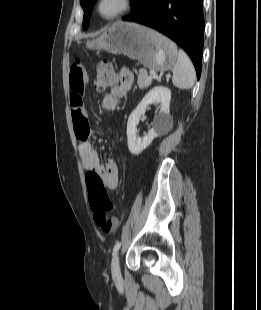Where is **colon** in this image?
Here are the masks:
<instances>
[{"label": "colon", "instance_id": "obj_1", "mask_svg": "<svg viewBox=\"0 0 261 310\" xmlns=\"http://www.w3.org/2000/svg\"><path fill=\"white\" fill-rule=\"evenodd\" d=\"M116 84V76L112 65L108 61L97 64L92 81V87L97 92H103ZM86 184L89 193V203L93 211L96 225L104 232L110 233L117 228V219L109 212L113 204L101 176L95 171L86 174Z\"/></svg>", "mask_w": 261, "mask_h": 310}]
</instances>
